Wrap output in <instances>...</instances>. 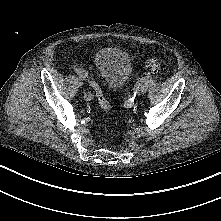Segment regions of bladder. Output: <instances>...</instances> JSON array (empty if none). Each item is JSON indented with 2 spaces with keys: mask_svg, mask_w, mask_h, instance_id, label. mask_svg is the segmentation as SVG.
<instances>
[{
  "mask_svg": "<svg viewBox=\"0 0 221 221\" xmlns=\"http://www.w3.org/2000/svg\"><path fill=\"white\" fill-rule=\"evenodd\" d=\"M95 65L103 85L112 91L122 88L132 72L128 54L114 47L100 49L95 55Z\"/></svg>",
  "mask_w": 221,
  "mask_h": 221,
  "instance_id": "1",
  "label": "bladder"
}]
</instances>
